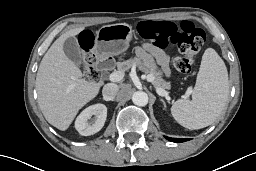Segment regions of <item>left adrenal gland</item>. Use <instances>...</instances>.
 Masks as SVG:
<instances>
[{"label":"left adrenal gland","mask_w":256,"mask_h":171,"mask_svg":"<svg viewBox=\"0 0 256 171\" xmlns=\"http://www.w3.org/2000/svg\"><path fill=\"white\" fill-rule=\"evenodd\" d=\"M161 101H162V103H163V105H164V108H166V103H165V101L163 100V99H160Z\"/></svg>","instance_id":"a2214340"}]
</instances>
